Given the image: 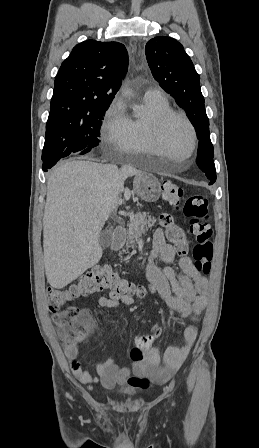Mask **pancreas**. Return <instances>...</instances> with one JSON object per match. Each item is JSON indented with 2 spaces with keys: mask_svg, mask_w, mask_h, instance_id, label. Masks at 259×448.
Segmentation results:
<instances>
[{
  "mask_svg": "<svg viewBox=\"0 0 259 448\" xmlns=\"http://www.w3.org/2000/svg\"><path fill=\"white\" fill-rule=\"evenodd\" d=\"M155 222V218L148 216V212H138V214H135L134 220L129 224L128 244H131V246H128V248L135 246L136 242H138L141 236L147 232L148 228L154 226ZM123 252H125V250H123ZM120 254H122V252H120ZM124 260L125 262H128L129 258H124Z\"/></svg>",
  "mask_w": 259,
  "mask_h": 448,
  "instance_id": "obj_1",
  "label": "pancreas"
}]
</instances>
